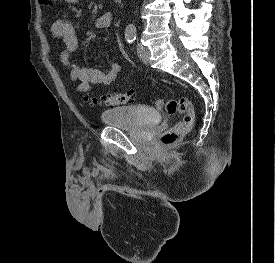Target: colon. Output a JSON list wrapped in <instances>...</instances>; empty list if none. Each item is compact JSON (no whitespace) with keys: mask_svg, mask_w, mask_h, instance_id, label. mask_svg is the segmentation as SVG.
I'll return each mask as SVG.
<instances>
[{"mask_svg":"<svg viewBox=\"0 0 275 263\" xmlns=\"http://www.w3.org/2000/svg\"><path fill=\"white\" fill-rule=\"evenodd\" d=\"M43 5L54 6L56 0H40ZM136 99V93L128 91L125 93H110L100 96L90 97L93 105L101 106H120L133 103ZM157 109L166 112L169 115L180 114L182 119L174 126L164 131L159 137V144L164 147H170L177 144L193 128L195 122V112L191 101L187 97L178 99L158 98L156 100Z\"/></svg>","mask_w":275,"mask_h":263,"instance_id":"obj_1","label":"colon"}]
</instances>
